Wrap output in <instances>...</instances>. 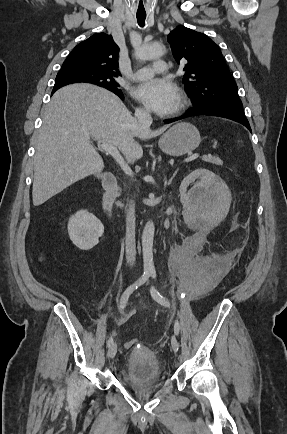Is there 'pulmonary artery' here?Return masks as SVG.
<instances>
[{
	"instance_id": "obj_1",
	"label": "pulmonary artery",
	"mask_w": 287,
	"mask_h": 434,
	"mask_svg": "<svg viewBox=\"0 0 287 434\" xmlns=\"http://www.w3.org/2000/svg\"><path fill=\"white\" fill-rule=\"evenodd\" d=\"M167 64L164 61H155L152 67H143L133 74L134 80H145L153 76V74H166Z\"/></svg>"
}]
</instances>
